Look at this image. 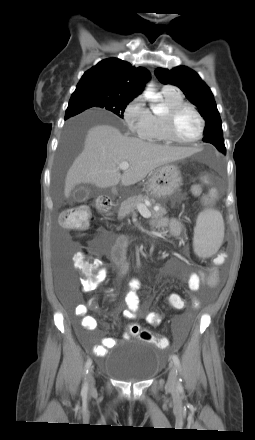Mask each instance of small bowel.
<instances>
[{"instance_id":"1","label":"small bowel","mask_w":255,"mask_h":440,"mask_svg":"<svg viewBox=\"0 0 255 440\" xmlns=\"http://www.w3.org/2000/svg\"><path fill=\"white\" fill-rule=\"evenodd\" d=\"M152 225L157 229H163L168 227L169 232L172 237L177 238L180 237L183 231V224L177 218H172L168 220L167 218L160 217L155 219L152 222ZM131 242V238L126 235H120L116 238L115 243L112 247L110 259L118 270V273L121 277H125L129 271V265L126 260V251L129 243ZM222 255H218L216 259H221ZM100 266L99 262H95ZM106 278V270L101 266V270L96 279L95 286L97 283L103 281ZM188 289L189 292H195L199 290L202 286L208 285L210 287H215L219 283V273L216 268H212L209 275L207 276L204 270H199L198 272H191L187 277ZM94 286V288H95ZM141 283L137 278H133L128 283V291L125 294L124 302L126 305V309L123 312V315L128 320H133L138 316L140 311V298L138 295V290L140 289ZM93 288V289H94ZM93 289H86L82 287V290L85 292L92 291ZM192 303L196 306L198 305V301L195 296L189 293ZM167 298H182L180 294L171 293L167 296ZM88 306L87 305H77L74 308V314L76 317L81 318L80 327L84 331H93L97 327V320L88 315ZM144 319L147 323L157 326L162 321V316L158 312H148L143 315ZM187 318L191 317V314H186ZM125 338L128 337V334L124 335ZM81 341L88 346L89 340L82 334H80ZM181 341V339H179ZM117 344V340L112 337H106L102 340L101 344L95 345L92 348V351L98 356H104L107 354L108 350L114 347ZM160 347V346H159Z\"/></svg>"}]
</instances>
